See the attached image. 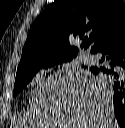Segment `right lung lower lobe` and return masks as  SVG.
<instances>
[{"label": "right lung lower lobe", "mask_w": 125, "mask_h": 128, "mask_svg": "<svg viewBox=\"0 0 125 128\" xmlns=\"http://www.w3.org/2000/svg\"><path fill=\"white\" fill-rule=\"evenodd\" d=\"M91 53L101 55V65L92 66L89 71L106 76V85L113 95L115 117L119 126L125 128V27L96 46Z\"/></svg>", "instance_id": "98d812e1"}]
</instances>
